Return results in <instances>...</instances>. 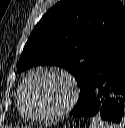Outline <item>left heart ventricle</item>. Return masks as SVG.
Returning <instances> with one entry per match:
<instances>
[{"mask_svg": "<svg viewBox=\"0 0 125 128\" xmlns=\"http://www.w3.org/2000/svg\"><path fill=\"white\" fill-rule=\"evenodd\" d=\"M70 94L62 77L48 72L34 75L25 88V103L33 114H49L61 108Z\"/></svg>", "mask_w": 125, "mask_h": 128, "instance_id": "b2bd125f", "label": "left heart ventricle"}]
</instances>
